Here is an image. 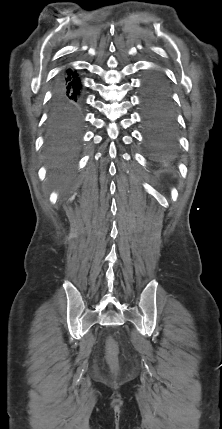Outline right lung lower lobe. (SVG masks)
Masks as SVG:
<instances>
[{"label":"right lung lower lobe","mask_w":222,"mask_h":429,"mask_svg":"<svg viewBox=\"0 0 222 429\" xmlns=\"http://www.w3.org/2000/svg\"><path fill=\"white\" fill-rule=\"evenodd\" d=\"M81 81L71 69L60 73L53 83L49 125L67 135L76 134L82 124Z\"/></svg>","instance_id":"1"}]
</instances>
